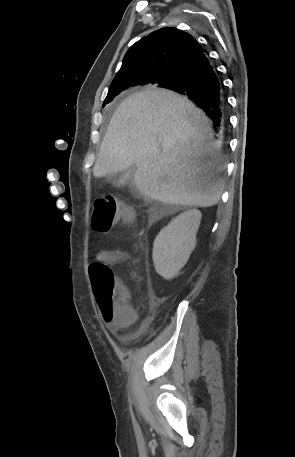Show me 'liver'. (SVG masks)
<instances>
[{
    "label": "liver",
    "instance_id": "6515ba94",
    "mask_svg": "<svg viewBox=\"0 0 295 457\" xmlns=\"http://www.w3.org/2000/svg\"><path fill=\"white\" fill-rule=\"evenodd\" d=\"M213 131L206 114L166 89L141 91L114 112L93 167L95 177L136 165L134 184L164 204L210 207L222 182Z\"/></svg>",
    "mask_w": 295,
    "mask_h": 457
}]
</instances>
